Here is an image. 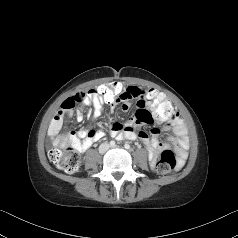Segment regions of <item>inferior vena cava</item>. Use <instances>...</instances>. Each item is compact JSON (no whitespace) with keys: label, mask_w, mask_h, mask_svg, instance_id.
I'll return each mask as SVG.
<instances>
[{"label":"inferior vena cava","mask_w":238,"mask_h":238,"mask_svg":"<svg viewBox=\"0 0 238 238\" xmlns=\"http://www.w3.org/2000/svg\"><path fill=\"white\" fill-rule=\"evenodd\" d=\"M108 148H109V145L106 144L104 150H107Z\"/></svg>","instance_id":"inferior-vena-cava-1"}]
</instances>
